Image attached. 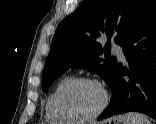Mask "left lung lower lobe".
I'll return each mask as SVG.
<instances>
[{
  "label": "left lung lower lobe",
  "instance_id": "1",
  "mask_svg": "<svg viewBox=\"0 0 156 124\" xmlns=\"http://www.w3.org/2000/svg\"><path fill=\"white\" fill-rule=\"evenodd\" d=\"M130 71L118 64L110 81L109 106L102 120L128 111L145 113L156 119V0L122 45ZM127 75L129 80L123 79Z\"/></svg>",
  "mask_w": 156,
  "mask_h": 124
}]
</instances>
